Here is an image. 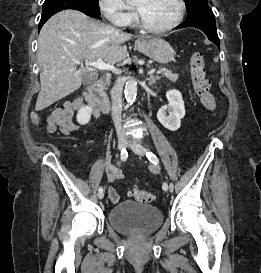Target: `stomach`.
Here are the masks:
<instances>
[{"instance_id": "obj_1", "label": "stomach", "mask_w": 261, "mask_h": 273, "mask_svg": "<svg viewBox=\"0 0 261 273\" xmlns=\"http://www.w3.org/2000/svg\"><path fill=\"white\" fill-rule=\"evenodd\" d=\"M135 47L146 56L162 64H167L174 59L173 48L161 38L138 39L135 42Z\"/></svg>"}]
</instances>
